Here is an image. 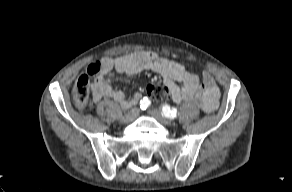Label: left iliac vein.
Masks as SVG:
<instances>
[{
  "label": "left iliac vein",
  "mask_w": 292,
  "mask_h": 192,
  "mask_svg": "<svg viewBox=\"0 0 292 192\" xmlns=\"http://www.w3.org/2000/svg\"><path fill=\"white\" fill-rule=\"evenodd\" d=\"M149 114L163 125L171 124V121L167 117H165V115L160 110L151 109L149 110Z\"/></svg>",
  "instance_id": "1"
}]
</instances>
